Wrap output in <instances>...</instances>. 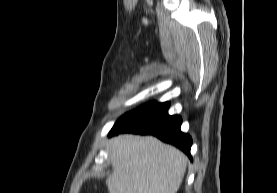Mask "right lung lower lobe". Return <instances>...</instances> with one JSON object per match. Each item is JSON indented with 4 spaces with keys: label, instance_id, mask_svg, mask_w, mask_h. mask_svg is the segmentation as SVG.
<instances>
[{
    "label": "right lung lower lobe",
    "instance_id": "1",
    "mask_svg": "<svg viewBox=\"0 0 277 193\" xmlns=\"http://www.w3.org/2000/svg\"><path fill=\"white\" fill-rule=\"evenodd\" d=\"M169 103H147L123 115L109 132V136L119 133L151 134L164 142L184 151L191 159L192 139L180 130L179 116L168 115Z\"/></svg>",
    "mask_w": 277,
    "mask_h": 193
}]
</instances>
